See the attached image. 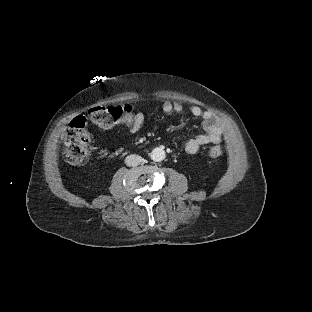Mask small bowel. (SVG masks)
Returning a JSON list of instances; mask_svg holds the SVG:
<instances>
[{
    "mask_svg": "<svg viewBox=\"0 0 312 312\" xmlns=\"http://www.w3.org/2000/svg\"><path fill=\"white\" fill-rule=\"evenodd\" d=\"M162 110L166 114L181 113L183 105L176 101H164ZM190 114L195 118L202 120V125L205 133L199 134L194 138L187 141L185 144V151L188 154H194L197 150L204 145L219 143L223 138V129L220 120L211 112L203 110L198 105L190 107ZM145 124V116L142 112H136L128 117L127 126L131 132H138Z\"/></svg>",
    "mask_w": 312,
    "mask_h": 312,
    "instance_id": "1",
    "label": "small bowel"
}]
</instances>
